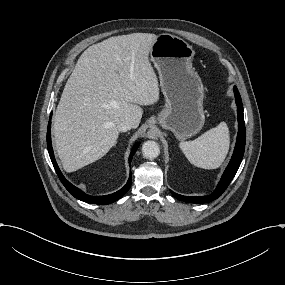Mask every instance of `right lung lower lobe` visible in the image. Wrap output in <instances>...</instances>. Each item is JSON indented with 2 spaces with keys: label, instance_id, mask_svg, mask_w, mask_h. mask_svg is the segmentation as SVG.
<instances>
[{
  "label": "right lung lower lobe",
  "instance_id": "98d812e1",
  "mask_svg": "<svg viewBox=\"0 0 285 285\" xmlns=\"http://www.w3.org/2000/svg\"><path fill=\"white\" fill-rule=\"evenodd\" d=\"M51 117H52V114L49 117L48 129H47L48 152H49L52 164L56 170V173H57L60 181L65 186V188L69 191V193L81 201H84L87 203H92V204H99V205L110 204V203H113L116 200L120 199L129 190V188L131 186V182H132L131 173H130V177L128 179V182L126 183V185L122 189H120L119 191H117L115 193L105 195V196H90L88 194H85L84 192H82L80 189H78L77 187H75L69 181H67L65 179V177L62 175V173H61V171H60V169L56 163L54 153H53V149H52V144H51ZM138 147H139V143L135 144V146L133 147V149L130 153V156H129V163H131L132 157H133L134 153L136 152V150L138 149Z\"/></svg>",
  "mask_w": 285,
  "mask_h": 285
}]
</instances>
